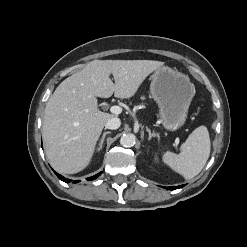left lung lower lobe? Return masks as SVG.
<instances>
[{"mask_svg": "<svg viewBox=\"0 0 247 247\" xmlns=\"http://www.w3.org/2000/svg\"><path fill=\"white\" fill-rule=\"evenodd\" d=\"M184 185H180V186H175V187H167L168 190H175V189H179L182 188Z\"/></svg>", "mask_w": 247, "mask_h": 247, "instance_id": "obj_1", "label": "left lung lower lobe"}]
</instances>
